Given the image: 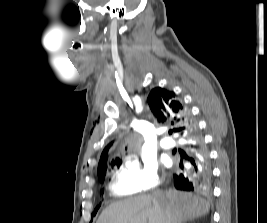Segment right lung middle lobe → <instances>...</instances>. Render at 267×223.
<instances>
[{"mask_svg": "<svg viewBox=\"0 0 267 223\" xmlns=\"http://www.w3.org/2000/svg\"><path fill=\"white\" fill-rule=\"evenodd\" d=\"M105 174L106 172L103 174V176L100 178V181H103L104 180V177H105ZM99 206L94 210V212L92 213V216H94L98 210Z\"/></svg>", "mask_w": 267, "mask_h": 223, "instance_id": "obj_1", "label": "right lung middle lobe"}]
</instances>
